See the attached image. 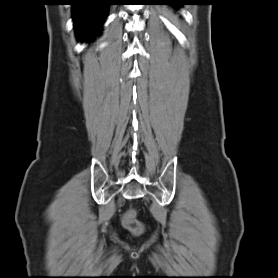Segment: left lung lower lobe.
Masks as SVG:
<instances>
[{
	"instance_id": "obj_1",
	"label": "left lung lower lobe",
	"mask_w": 278,
	"mask_h": 278,
	"mask_svg": "<svg viewBox=\"0 0 278 278\" xmlns=\"http://www.w3.org/2000/svg\"><path fill=\"white\" fill-rule=\"evenodd\" d=\"M170 4L169 5H172L173 7H178L180 5H183V0H169Z\"/></svg>"
}]
</instances>
